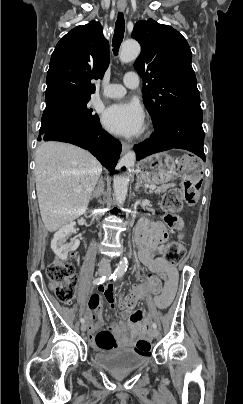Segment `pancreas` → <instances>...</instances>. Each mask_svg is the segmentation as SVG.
I'll return each mask as SVG.
<instances>
[{"instance_id": "1", "label": "pancreas", "mask_w": 243, "mask_h": 404, "mask_svg": "<svg viewBox=\"0 0 243 404\" xmlns=\"http://www.w3.org/2000/svg\"><path fill=\"white\" fill-rule=\"evenodd\" d=\"M168 188H170V184H167V186H158L157 190H154V192L155 194H163Z\"/></svg>"}]
</instances>
